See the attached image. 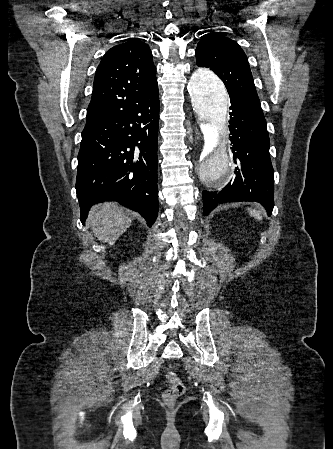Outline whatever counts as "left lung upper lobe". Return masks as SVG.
<instances>
[{
	"label": "left lung upper lobe",
	"mask_w": 333,
	"mask_h": 449,
	"mask_svg": "<svg viewBox=\"0 0 333 449\" xmlns=\"http://www.w3.org/2000/svg\"><path fill=\"white\" fill-rule=\"evenodd\" d=\"M195 55L197 65L217 74L229 94H237L261 107L247 56L237 42L218 33H203Z\"/></svg>",
	"instance_id": "obj_1"
}]
</instances>
